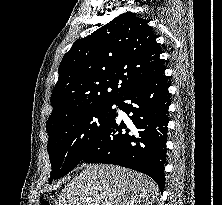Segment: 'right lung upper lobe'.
I'll use <instances>...</instances> for the list:
<instances>
[{
	"mask_svg": "<svg viewBox=\"0 0 222 205\" xmlns=\"http://www.w3.org/2000/svg\"><path fill=\"white\" fill-rule=\"evenodd\" d=\"M160 53L147 21L132 12L78 39L60 63L46 125L93 104L120 101L128 89L164 69Z\"/></svg>",
	"mask_w": 222,
	"mask_h": 205,
	"instance_id": "obj_1",
	"label": "right lung upper lobe"
}]
</instances>
